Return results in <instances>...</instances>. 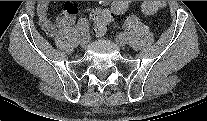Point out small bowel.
I'll return each mask as SVG.
<instances>
[{"instance_id": "small-bowel-1", "label": "small bowel", "mask_w": 207, "mask_h": 121, "mask_svg": "<svg viewBox=\"0 0 207 121\" xmlns=\"http://www.w3.org/2000/svg\"><path fill=\"white\" fill-rule=\"evenodd\" d=\"M101 3L104 5L108 4V2L106 1H102ZM48 8V1H40L37 4V16L39 25L47 36L53 37L56 35L59 29L71 26L75 22L77 8L72 2L66 3L63 13L60 16H58L55 21L50 19L48 15ZM125 11L126 10H124V12Z\"/></svg>"}]
</instances>
